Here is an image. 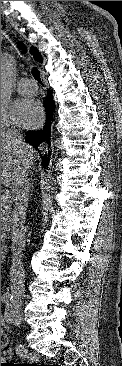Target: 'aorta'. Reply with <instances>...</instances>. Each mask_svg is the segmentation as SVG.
Here are the masks:
<instances>
[{"instance_id":"aorta-1","label":"aorta","mask_w":122,"mask_h":366,"mask_svg":"<svg viewBox=\"0 0 122 366\" xmlns=\"http://www.w3.org/2000/svg\"><path fill=\"white\" fill-rule=\"evenodd\" d=\"M14 77V60L9 54L1 55V102L11 95Z\"/></svg>"}]
</instances>
